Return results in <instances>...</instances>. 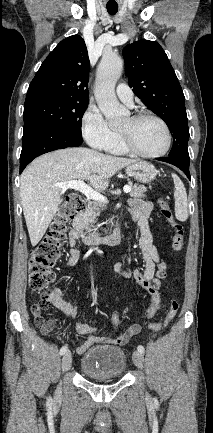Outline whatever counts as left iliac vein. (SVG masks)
<instances>
[{
  "instance_id": "1",
  "label": "left iliac vein",
  "mask_w": 213,
  "mask_h": 433,
  "mask_svg": "<svg viewBox=\"0 0 213 433\" xmlns=\"http://www.w3.org/2000/svg\"><path fill=\"white\" fill-rule=\"evenodd\" d=\"M132 358H133L134 364L138 368L142 369L143 363H144V356H143V354L141 352H139V351H134Z\"/></svg>"
}]
</instances>
